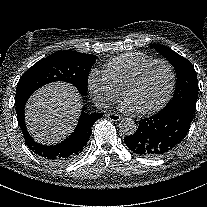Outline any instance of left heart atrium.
I'll list each match as a JSON object with an SVG mask.
<instances>
[{
	"mask_svg": "<svg viewBox=\"0 0 207 207\" xmlns=\"http://www.w3.org/2000/svg\"><path fill=\"white\" fill-rule=\"evenodd\" d=\"M120 108L123 111L134 112L133 107L127 101H125L124 103H122L121 106H120Z\"/></svg>",
	"mask_w": 207,
	"mask_h": 207,
	"instance_id": "1",
	"label": "left heart atrium"
}]
</instances>
